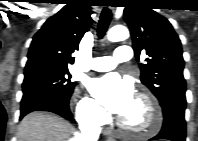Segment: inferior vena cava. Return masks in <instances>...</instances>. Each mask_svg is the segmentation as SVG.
Here are the masks:
<instances>
[{
	"label": "inferior vena cava",
	"instance_id": "602c4592",
	"mask_svg": "<svg viewBox=\"0 0 198 141\" xmlns=\"http://www.w3.org/2000/svg\"><path fill=\"white\" fill-rule=\"evenodd\" d=\"M80 130V141H97L101 129L98 123L89 121L81 124Z\"/></svg>",
	"mask_w": 198,
	"mask_h": 141
}]
</instances>
